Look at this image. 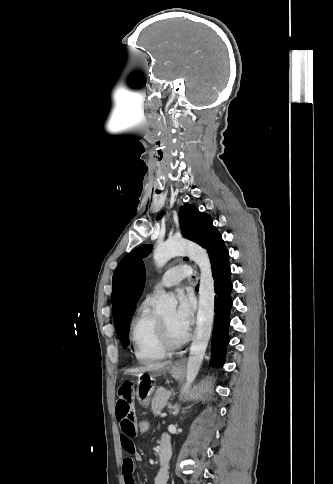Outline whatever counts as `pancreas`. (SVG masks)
Segmentation results:
<instances>
[{
	"label": "pancreas",
	"instance_id": "1",
	"mask_svg": "<svg viewBox=\"0 0 333 484\" xmlns=\"http://www.w3.org/2000/svg\"><path fill=\"white\" fill-rule=\"evenodd\" d=\"M170 395L171 393L163 387L155 392L151 405L153 415L158 416L161 414V410L166 406Z\"/></svg>",
	"mask_w": 333,
	"mask_h": 484
}]
</instances>
